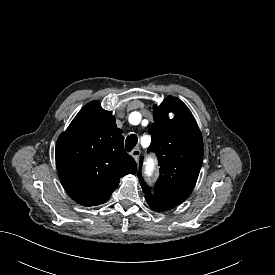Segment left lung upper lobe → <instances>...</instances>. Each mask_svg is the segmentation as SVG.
I'll list each match as a JSON object with an SVG mask.
<instances>
[{"mask_svg": "<svg viewBox=\"0 0 275 275\" xmlns=\"http://www.w3.org/2000/svg\"><path fill=\"white\" fill-rule=\"evenodd\" d=\"M170 113L174 118L170 119ZM154 123L148 151L158 156L160 176L155 194L150 193L141 173H138L145 196L186 200L191 194L203 160V140L199 127L188 109L178 98L169 96L153 108ZM142 158L140 160V167Z\"/></svg>", "mask_w": 275, "mask_h": 275, "instance_id": "left-lung-upper-lobe-1", "label": "left lung upper lobe"}]
</instances>
